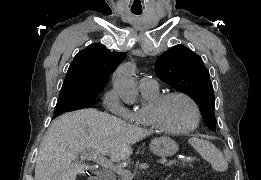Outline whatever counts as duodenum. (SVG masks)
I'll return each instance as SVG.
<instances>
[{
	"label": "duodenum",
	"instance_id": "duodenum-1",
	"mask_svg": "<svg viewBox=\"0 0 261 180\" xmlns=\"http://www.w3.org/2000/svg\"><path fill=\"white\" fill-rule=\"evenodd\" d=\"M88 180H105L104 177H89Z\"/></svg>",
	"mask_w": 261,
	"mask_h": 180
}]
</instances>
